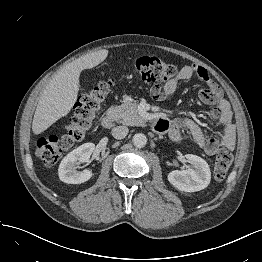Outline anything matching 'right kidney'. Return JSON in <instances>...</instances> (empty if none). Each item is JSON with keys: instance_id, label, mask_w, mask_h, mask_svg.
I'll return each mask as SVG.
<instances>
[{"instance_id": "obj_1", "label": "right kidney", "mask_w": 262, "mask_h": 262, "mask_svg": "<svg viewBox=\"0 0 262 262\" xmlns=\"http://www.w3.org/2000/svg\"><path fill=\"white\" fill-rule=\"evenodd\" d=\"M95 149L93 143H85L71 151L59 165L58 174L61 181L68 184H80L92 177V171L85 169L77 171L80 163H87Z\"/></svg>"}]
</instances>
